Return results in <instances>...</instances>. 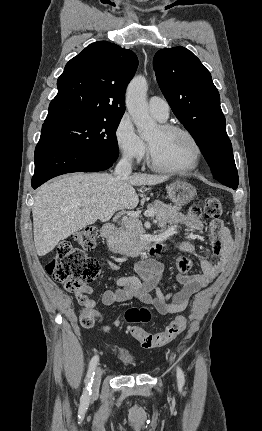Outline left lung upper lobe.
<instances>
[{"label": "left lung upper lobe", "instance_id": "5c2ea615", "mask_svg": "<svg viewBox=\"0 0 262 431\" xmlns=\"http://www.w3.org/2000/svg\"><path fill=\"white\" fill-rule=\"evenodd\" d=\"M153 65L162 93L195 139L214 178L236 189L238 173L232 145L210 72L184 47L159 50Z\"/></svg>", "mask_w": 262, "mask_h": 431}]
</instances>
